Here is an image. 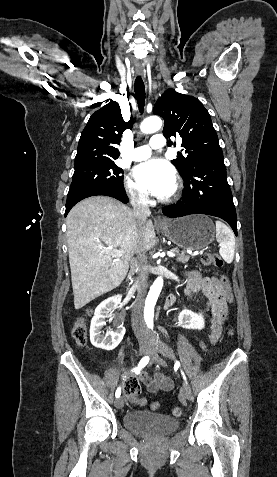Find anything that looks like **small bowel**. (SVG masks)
Returning <instances> with one entry per match:
<instances>
[{
	"instance_id": "c3829d8e",
	"label": "small bowel",
	"mask_w": 277,
	"mask_h": 477,
	"mask_svg": "<svg viewBox=\"0 0 277 477\" xmlns=\"http://www.w3.org/2000/svg\"><path fill=\"white\" fill-rule=\"evenodd\" d=\"M186 291L189 294L202 291L207 298V308L211 312L209 338L212 343H215L222 334V323L226 317L227 305L229 304L226 302L223 285L215 277H203L198 272H192L188 278ZM138 380L151 393L170 391L173 388L172 380L160 372H156L153 377L141 372L138 374ZM128 381H133L139 386L134 378H130ZM144 404H146L145 399L142 400L141 405Z\"/></svg>"
}]
</instances>
